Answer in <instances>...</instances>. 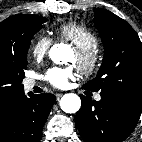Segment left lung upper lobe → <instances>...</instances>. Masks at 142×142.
Masks as SVG:
<instances>
[{
    "instance_id": "obj_1",
    "label": "left lung upper lobe",
    "mask_w": 142,
    "mask_h": 142,
    "mask_svg": "<svg viewBox=\"0 0 142 142\" xmlns=\"http://www.w3.org/2000/svg\"><path fill=\"white\" fill-rule=\"evenodd\" d=\"M94 24L104 44L97 76L83 88L101 97L142 107V43L133 28L106 9H94Z\"/></svg>"
}]
</instances>
